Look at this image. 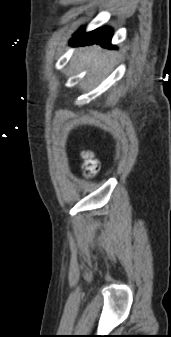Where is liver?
<instances>
[{"label": "liver", "instance_id": "liver-1", "mask_svg": "<svg viewBox=\"0 0 171 337\" xmlns=\"http://www.w3.org/2000/svg\"><path fill=\"white\" fill-rule=\"evenodd\" d=\"M82 60H84L89 66H91L92 69H94V67L102 65L101 56L89 55L87 57L86 55H84L82 57Z\"/></svg>", "mask_w": 171, "mask_h": 337}]
</instances>
